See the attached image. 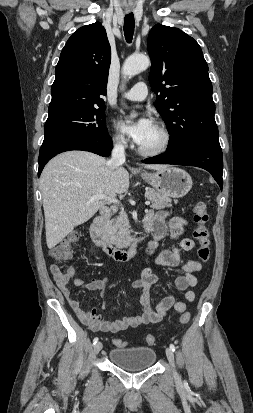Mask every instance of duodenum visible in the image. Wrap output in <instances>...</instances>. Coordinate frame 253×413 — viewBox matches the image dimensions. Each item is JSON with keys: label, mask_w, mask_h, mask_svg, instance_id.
I'll list each match as a JSON object with an SVG mask.
<instances>
[{"label": "duodenum", "mask_w": 253, "mask_h": 413, "mask_svg": "<svg viewBox=\"0 0 253 413\" xmlns=\"http://www.w3.org/2000/svg\"><path fill=\"white\" fill-rule=\"evenodd\" d=\"M111 216V210L104 207L100 210L98 216H96L90 226V235L94 243L100 246L103 251L119 262H127L131 260L137 252V246L142 237H135L127 249H120L110 240L108 237L105 224ZM145 231H149L147 224L144 223Z\"/></svg>", "instance_id": "duodenum-1"}]
</instances>
